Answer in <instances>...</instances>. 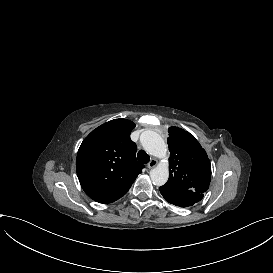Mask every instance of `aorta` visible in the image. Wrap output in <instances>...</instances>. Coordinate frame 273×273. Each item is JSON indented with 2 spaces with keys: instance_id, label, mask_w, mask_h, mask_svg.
I'll return each instance as SVG.
<instances>
[{
  "instance_id": "762f6f07",
  "label": "aorta",
  "mask_w": 273,
  "mask_h": 273,
  "mask_svg": "<svg viewBox=\"0 0 273 273\" xmlns=\"http://www.w3.org/2000/svg\"><path fill=\"white\" fill-rule=\"evenodd\" d=\"M141 143L144 149L151 155L158 158H166L167 146L162 137L153 131H146L141 134ZM150 177L154 185H164L169 177L168 161L158 164L150 171Z\"/></svg>"
}]
</instances>
